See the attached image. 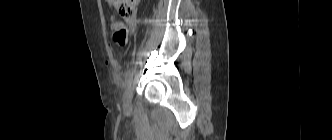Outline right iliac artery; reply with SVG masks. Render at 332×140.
<instances>
[{"label":"right iliac artery","mask_w":332,"mask_h":140,"mask_svg":"<svg viewBox=\"0 0 332 140\" xmlns=\"http://www.w3.org/2000/svg\"><path fill=\"white\" fill-rule=\"evenodd\" d=\"M130 82H131V73H130V71H128L126 73V85L129 86Z\"/></svg>","instance_id":"right-iliac-artery-1"}]
</instances>
